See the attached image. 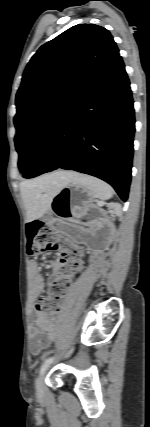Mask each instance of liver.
Returning <instances> with one entry per match:
<instances>
[{
    "label": "liver",
    "mask_w": 150,
    "mask_h": 427,
    "mask_svg": "<svg viewBox=\"0 0 150 427\" xmlns=\"http://www.w3.org/2000/svg\"><path fill=\"white\" fill-rule=\"evenodd\" d=\"M77 173L56 171L31 180L22 181L20 191L29 221L40 218L49 208L57 192L74 181Z\"/></svg>",
    "instance_id": "1"
}]
</instances>
